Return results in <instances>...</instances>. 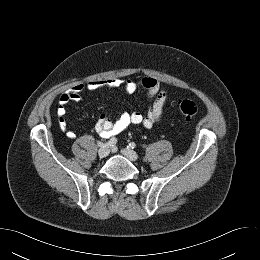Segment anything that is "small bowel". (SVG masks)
<instances>
[{
  "label": "small bowel",
  "mask_w": 260,
  "mask_h": 260,
  "mask_svg": "<svg viewBox=\"0 0 260 260\" xmlns=\"http://www.w3.org/2000/svg\"><path fill=\"white\" fill-rule=\"evenodd\" d=\"M123 88L127 94L134 93L138 88L146 91V99L153 100L147 112L142 114L137 111L123 113L117 120L112 121L104 115H100L95 122V130L102 137L117 135L132 125H142L144 128H151L156 122L160 121L167 103L169 101V91L162 87L161 83L154 77L147 76L141 80H125L114 77L108 79H94L87 82L76 83L65 91L59 98L57 115L60 127L66 130V105L69 102L79 101L84 90L99 91L103 89ZM70 138H75L76 133L67 131Z\"/></svg>",
  "instance_id": "obj_1"
}]
</instances>
